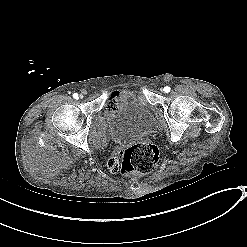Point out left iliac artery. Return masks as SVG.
Returning a JSON list of instances; mask_svg holds the SVG:
<instances>
[{
	"label": "left iliac artery",
	"instance_id": "1",
	"mask_svg": "<svg viewBox=\"0 0 247 247\" xmlns=\"http://www.w3.org/2000/svg\"><path fill=\"white\" fill-rule=\"evenodd\" d=\"M163 90H164V92L168 93V92H170V87L166 86V87H164Z\"/></svg>",
	"mask_w": 247,
	"mask_h": 247
}]
</instances>
